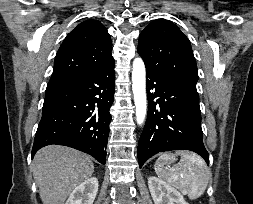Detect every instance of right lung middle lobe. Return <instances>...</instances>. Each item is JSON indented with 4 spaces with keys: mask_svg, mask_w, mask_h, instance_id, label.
Masks as SVG:
<instances>
[{
    "mask_svg": "<svg viewBox=\"0 0 253 204\" xmlns=\"http://www.w3.org/2000/svg\"><path fill=\"white\" fill-rule=\"evenodd\" d=\"M55 84H57V83H48L47 88H49V87H51V86H53Z\"/></svg>",
    "mask_w": 253,
    "mask_h": 204,
    "instance_id": "right-lung-middle-lobe-1",
    "label": "right lung middle lobe"
}]
</instances>
